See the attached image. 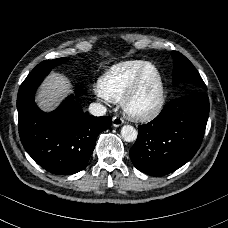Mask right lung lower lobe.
Instances as JSON below:
<instances>
[{"instance_id":"right-lung-lower-lobe-1","label":"right lung lower lobe","mask_w":228,"mask_h":228,"mask_svg":"<svg viewBox=\"0 0 228 228\" xmlns=\"http://www.w3.org/2000/svg\"><path fill=\"white\" fill-rule=\"evenodd\" d=\"M49 72H31L19 88L20 139L27 153L45 170L59 175L74 174L86 167L97 136L110 127L112 118L82 112L74 96L68 97L55 111L42 112L34 103V94ZM76 92L84 93V90L77 86Z\"/></svg>"}]
</instances>
